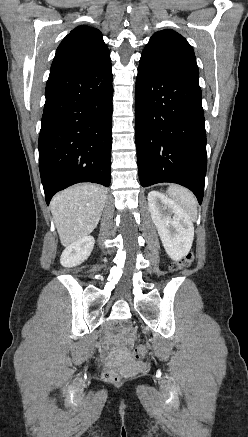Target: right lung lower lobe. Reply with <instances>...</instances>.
Here are the masks:
<instances>
[{
    "label": "right lung lower lobe",
    "instance_id": "obj_1",
    "mask_svg": "<svg viewBox=\"0 0 248 437\" xmlns=\"http://www.w3.org/2000/svg\"><path fill=\"white\" fill-rule=\"evenodd\" d=\"M112 80L111 62L50 72L38 142L47 204L75 183L110 185Z\"/></svg>",
    "mask_w": 248,
    "mask_h": 437
}]
</instances>
